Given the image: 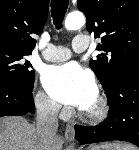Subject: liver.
<instances>
[{
	"mask_svg": "<svg viewBox=\"0 0 139 150\" xmlns=\"http://www.w3.org/2000/svg\"><path fill=\"white\" fill-rule=\"evenodd\" d=\"M63 140L56 136L53 150H61ZM36 128L22 117L0 118V150H41Z\"/></svg>",
	"mask_w": 139,
	"mask_h": 150,
	"instance_id": "obj_1",
	"label": "liver"
}]
</instances>
